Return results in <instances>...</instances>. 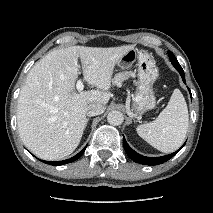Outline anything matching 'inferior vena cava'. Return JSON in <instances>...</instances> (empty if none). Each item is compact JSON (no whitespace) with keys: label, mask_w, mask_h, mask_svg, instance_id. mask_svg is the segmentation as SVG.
Instances as JSON below:
<instances>
[{"label":"inferior vena cava","mask_w":213,"mask_h":213,"mask_svg":"<svg viewBox=\"0 0 213 213\" xmlns=\"http://www.w3.org/2000/svg\"><path fill=\"white\" fill-rule=\"evenodd\" d=\"M105 111V106L99 103H90L85 107L88 116L100 115Z\"/></svg>","instance_id":"inferior-vena-cava-1"}]
</instances>
